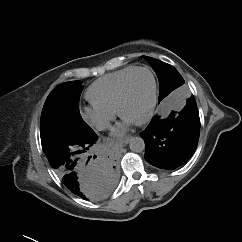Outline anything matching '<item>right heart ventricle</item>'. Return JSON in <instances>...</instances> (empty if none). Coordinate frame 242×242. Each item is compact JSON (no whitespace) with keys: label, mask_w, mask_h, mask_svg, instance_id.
Returning <instances> with one entry per match:
<instances>
[{"label":"right heart ventricle","mask_w":242,"mask_h":242,"mask_svg":"<svg viewBox=\"0 0 242 242\" xmlns=\"http://www.w3.org/2000/svg\"><path fill=\"white\" fill-rule=\"evenodd\" d=\"M135 68L137 67L128 66L94 81L86 92L89 101L96 106L115 111L121 85Z\"/></svg>","instance_id":"1"}]
</instances>
